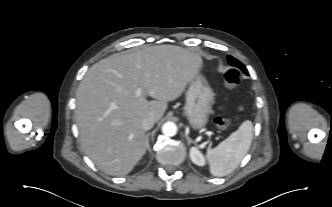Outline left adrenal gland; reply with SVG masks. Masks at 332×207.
Instances as JSON below:
<instances>
[{"instance_id":"a2214340","label":"left adrenal gland","mask_w":332,"mask_h":207,"mask_svg":"<svg viewBox=\"0 0 332 207\" xmlns=\"http://www.w3.org/2000/svg\"><path fill=\"white\" fill-rule=\"evenodd\" d=\"M185 137H186L188 144H191L193 142L192 139L187 134H185Z\"/></svg>"}]
</instances>
